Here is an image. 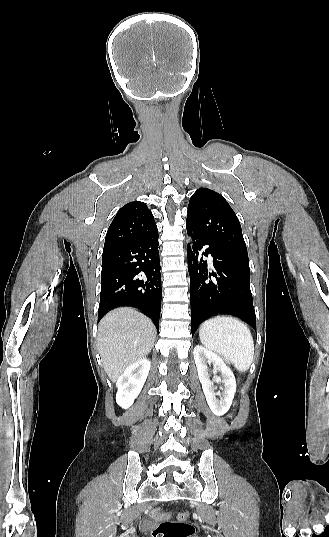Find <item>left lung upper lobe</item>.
Here are the masks:
<instances>
[{
	"mask_svg": "<svg viewBox=\"0 0 329 537\" xmlns=\"http://www.w3.org/2000/svg\"><path fill=\"white\" fill-rule=\"evenodd\" d=\"M187 226L209 244L249 260L239 220L225 198L217 192L200 188L192 195Z\"/></svg>",
	"mask_w": 329,
	"mask_h": 537,
	"instance_id": "obj_1",
	"label": "left lung upper lobe"
}]
</instances>
